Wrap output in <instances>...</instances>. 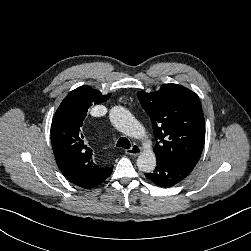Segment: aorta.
I'll list each match as a JSON object with an SVG mask.
<instances>
[{"label": "aorta", "instance_id": "aorta-1", "mask_svg": "<svg viewBox=\"0 0 251 251\" xmlns=\"http://www.w3.org/2000/svg\"><path fill=\"white\" fill-rule=\"evenodd\" d=\"M112 125L127 136L133 138L146 137V131L140 122L124 107L116 106L109 114ZM137 166L140 171L150 173L156 167V156L150 149L142 152L137 158Z\"/></svg>", "mask_w": 251, "mask_h": 251}]
</instances>
